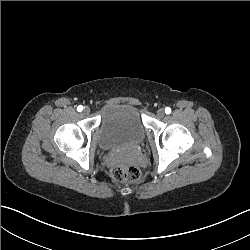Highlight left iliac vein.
I'll list each match as a JSON object with an SVG mask.
<instances>
[{
    "label": "left iliac vein",
    "mask_w": 250,
    "mask_h": 250,
    "mask_svg": "<svg viewBox=\"0 0 250 250\" xmlns=\"http://www.w3.org/2000/svg\"><path fill=\"white\" fill-rule=\"evenodd\" d=\"M157 115H158L160 118L164 117V115H165L164 109H159V110L157 111Z\"/></svg>",
    "instance_id": "obj_1"
}]
</instances>
